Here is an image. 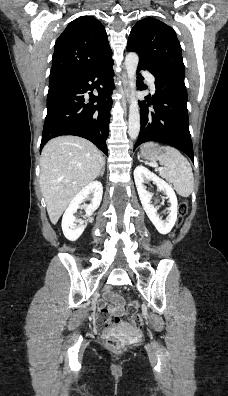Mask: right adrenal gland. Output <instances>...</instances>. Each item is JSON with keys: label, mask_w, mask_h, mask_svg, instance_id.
<instances>
[{"label": "right adrenal gland", "mask_w": 228, "mask_h": 396, "mask_svg": "<svg viewBox=\"0 0 228 396\" xmlns=\"http://www.w3.org/2000/svg\"><path fill=\"white\" fill-rule=\"evenodd\" d=\"M104 171H105V164L103 165L102 170L100 171L98 176H103Z\"/></svg>", "instance_id": "obj_1"}]
</instances>
